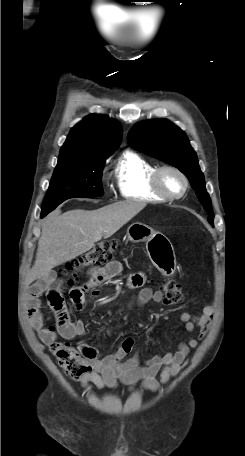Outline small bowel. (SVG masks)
I'll list each match as a JSON object with an SVG mask.
<instances>
[{"instance_id": "obj_1", "label": "small bowel", "mask_w": 245, "mask_h": 456, "mask_svg": "<svg viewBox=\"0 0 245 456\" xmlns=\"http://www.w3.org/2000/svg\"><path fill=\"white\" fill-rule=\"evenodd\" d=\"M121 272L122 264L117 260H113L103 267L92 268L88 273L87 281L71 290V300L80 308L85 294L90 289L101 285ZM145 282L146 275L144 272H137L128 277L127 285L130 288H141L135 302L139 305L149 301L161 302L163 293L160 290L154 291L150 287L144 286ZM44 291L48 292L49 303L56 314V331L44 327L39 299ZM97 295V292H93L94 297ZM214 313V305L209 303L203 307L200 315L185 312L180 316V321L187 332L194 333L198 330L199 339H203L210 329ZM27 316L31 326L38 332L40 339L48 345L58 335L65 339H73L83 336L85 333L83 321L72 322L70 320L64 298L59 290V284L53 275L44 276L30 287ZM197 346L198 339L190 337L185 342L177 343L174 352L156 355L148 359L144 365H140L137 353L125 360L126 356L132 353L135 348V340L132 337L124 339L114 353L103 358L99 357L97 346L80 341L78 343L79 351L91 368L88 373L80 378V384L87 391L92 386L99 390L116 388L120 383L125 384L131 390L140 382L143 390L156 392L161 385L168 383L171 377L180 372L187 364L190 349Z\"/></svg>"}]
</instances>
